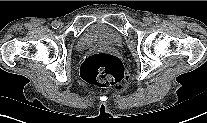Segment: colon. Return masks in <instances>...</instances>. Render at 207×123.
<instances>
[{
    "label": "colon",
    "instance_id": "5ec220e1",
    "mask_svg": "<svg viewBox=\"0 0 207 123\" xmlns=\"http://www.w3.org/2000/svg\"><path fill=\"white\" fill-rule=\"evenodd\" d=\"M81 76L88 83L118 90L129 79L128 70L120 59L106 53L87 57L81 66Z\"/></svg>",
    "mask_w": 207,
    "mask_h": 123
}]
</instances>
